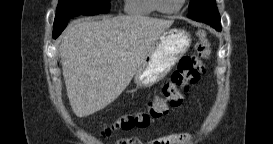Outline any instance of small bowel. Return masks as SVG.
<instances>
[{
  "label": "small bowel",
  "instance_id": "small-bowel-1",
  "mask_svg": "<svg viewBox=\"0 0 273 144\" xmlns=\"http://www.w3.org/2000/svg\"><path fill=\"white\" fill-rule=\"evenodd\" d=\"M190 140L188 133H174L163 137L154 138L145 144H185ZM116 144H144L138 137L132 136L119 139Z\"/></svg>",
  "mask_w": 273,
  "mask_h": 144
}]
</instances>
